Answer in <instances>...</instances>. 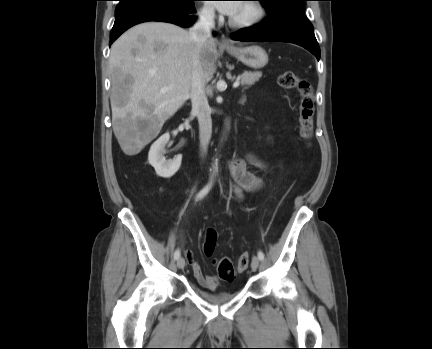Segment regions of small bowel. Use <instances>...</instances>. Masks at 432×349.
I'll use <instances>...</instances> for the list:
<instances>
[{
  "label": "small bowel",
  "instance_id": "small-bowel-1",
  "mask_svg": "<svg viewBox=\"0 0 432 349\" xmlns=\"http://www.w3.org/2000/svg\"><path fill=\"white\" fill-rule=\"evenodd\" d=\"M247 164L254 165L261 169H267L265 162L252 154H248L245 158L232 159L228 167L234 180V192L238 198L242 197L243 191L253 193L258 192L263 187L262 179L248 171ZM186 257L200 286L208 289H214L219 286V279L215 276L205 275L201 266L194 260L191 251H186Z\"/></svg>",
  "mask_w": 432,
  "mask_h": 349
}]
</instances>
